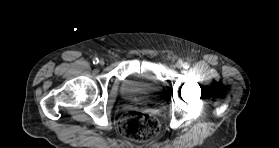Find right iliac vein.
<instances>
[{
	"label": "right iliac vein",
	"mask_w": 279,
	"mask_h": 148,
	"mask_svg": "<svg viewBox=\"0 0 279 148\" xmlns=\"http://www.w3.org/2000/svg\"><path fill=\"white\" fill-rule=\"evenodd\" d=\"M99 63H100V65H104V61L103 60H101Z\"/></svg>",
	"instance_id": "obj_1"
}]
</instances>
